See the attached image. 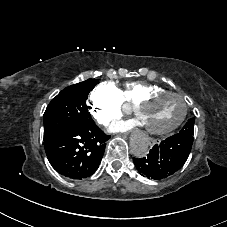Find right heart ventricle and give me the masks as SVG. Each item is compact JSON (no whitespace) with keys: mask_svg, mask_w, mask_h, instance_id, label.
Returning a JSON list of instances; mask_svg holds the SVG:
<instances>
[{"mask_svg":"<svg viewBox=\"0 0 227 227\" xmlns=\"http://www.w3.org/2000/svg\"><path fill=\"white\" fill-rule=\"evenodd\" d=\"M153 78V76H149ZM165 90L162 86L144 81H132L124 85L120 90L121 99L124 105L134 106V104L143 96Z\"/></svg>","mask_w":227,"mask_h":227,"instance_id":"right-heart-ventricle-1","label":"right heart ventricle"}]
</instances>
